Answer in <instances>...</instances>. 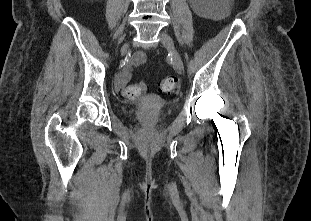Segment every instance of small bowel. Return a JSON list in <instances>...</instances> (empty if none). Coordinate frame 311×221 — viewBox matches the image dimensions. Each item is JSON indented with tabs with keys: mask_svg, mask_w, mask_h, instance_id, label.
I'll return each instance as SVG.
<instances>
[{
	"mask_svg": "<svg viewBox=\"0 0 311 221\" xmlns=\"http://www.w3.org/2000/svg\"><path fill=\"white\" fill-rule=\"evenodd\" d=\"M135 61L144 64L147 61V56L143 52H139L135 56Z\"/></svg>",
	"mask_w": 311,
	"mask_h": 221,
	"instance_id": "obj_1",
	"label": "small bowel"
}]
</instances>
